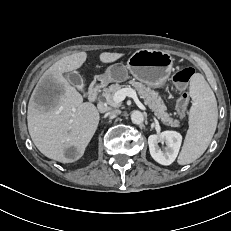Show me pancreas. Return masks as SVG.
<instances>
[{"instance_id":"1","label":"pancreas","mask_w":231,"mask_h":231,"mask_svg":"<svg viewBox=\"0 0 231 231\" xmlns=\"http://www.w3.org/2000/svg\"><path fill=\"white\" fill-rule=\"evenodd\" d=\"M131 86L134 87L141 98L144 99L145 104L148 105V107L154 112L155 116L160 119L163 124L171 127L179 126L180 121L171 118L170 114L166 112L167 108L164 104V101L158 95V92L152 90L149 86H146L145 84L135 80H130L125 85V87ZM123 87V85L115 83L103 89L102 96L105 98V102L109 107H120L121 104L114 102L113 96L115 92L123 89Z\"/></svg>"}]
</instances>
